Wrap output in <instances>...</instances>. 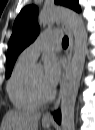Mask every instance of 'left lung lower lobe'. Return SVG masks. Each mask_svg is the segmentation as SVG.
Returning <instances> with one entry per match:
<instances>
[{
  "label": "left lung lower lobe",
  "instance_id": "1",
  "mask_svg": "<svg viewBox=\"0 0 95 130\" xmlns=\"http://www.w3.org/2000/svg\"><path fill=\"white\" fill-rule=\"evenodd\" d=\"M54 119L56 120L57 123L60 124V122H61V114H60L59 111L54 113Z\"/></svg>",
  "mask_w": 95,
  "mask_h": 130
}]
</instances>
